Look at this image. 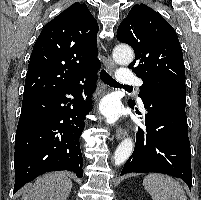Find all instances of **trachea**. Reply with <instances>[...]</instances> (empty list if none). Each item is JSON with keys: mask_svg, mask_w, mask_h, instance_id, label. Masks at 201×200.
<instances>
[{"mask_svg": "<svg viewBox=\"0 0 201 200\" xmlns=\"http://www.w3.org/2000/svg\"><path fill=\"white\" fill-rule=\"evenodd\" d=\"M100 78L105 84H107V85H109L111 87L125 88V89L132 88V86L119 84L105 70H102L100 72Z\"/></svg>", "mask_w": 201, "mask_h": 200, "instance_id": "trachea-1", "label": "trachea"}]
</instances>
